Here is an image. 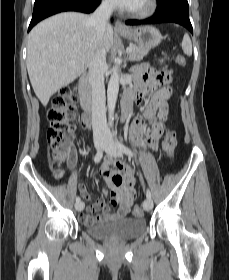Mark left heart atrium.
Returning a JSON list of instances; mask_svg holds the SVG:
<instances>
[{
  "instance_id": "1",
  "label": "left heart atrium",
  "mask_w": 229,
  "mask_h": 280,
  "mask_svg": "<svg viewBox=\"0 0 229 280\" xmlns=\"http://www.w3.org/2000/svg\"><path fill=\"white\" fill-rule=\"evenodd\" d=\"M135 1H138V0H114V2L121 6V7H124V8H130Z\"/></svg>"
}]
</instances>
